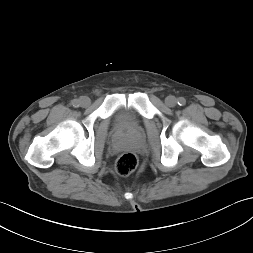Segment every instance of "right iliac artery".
<instances>
[{
  "instance_id": "1",
  "label": "right iliac artery",
  "mask_w": 253,
  "mask_h": 253,
  "mask_svg": "<svg viewBox=\"0 0 253 253\" xmlns=\"http://www.w3.org/2000/svg\"><path fill=\"white\" fill-rule=\"evenodd\" d=\"M71 104H72L74 107H78V106L80 105L79 100H77V99L72 100Z\"/></svg>"
}]
</instances>
